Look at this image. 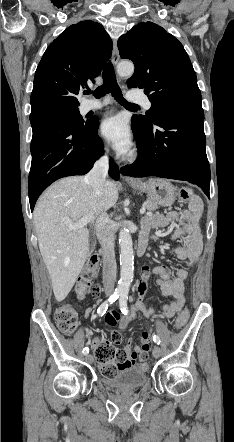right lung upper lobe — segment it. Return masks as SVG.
Segmentation results:
<instances>
[{
  "instance_id": "obj_1",
  "label": "right lung upper lobe",
  "mask_w": 234,
  "mask_h": 442,
  "mask_svg": "<svg viewBox=\"0 0 234 442\" xmlns=\"http://www.w3.org/2000/svg\"><path fill=\"white\" fill-rule=\"evenodd\" d=\"M112 53L103 26L81 21L62 32L46 49L34 76L31 115L78 107L76 96L101 73Z\"/></svg>"
}]
</instances>
